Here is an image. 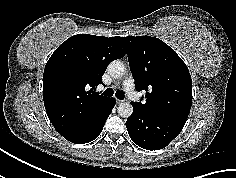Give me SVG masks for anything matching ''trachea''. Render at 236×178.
I'll return each mask as SVG.
<instances>
[{"label":"trachea","mask_w":236,"mask_h":178,"mask_svg":"<svg viewBox=\"0 0 236 178\" xmlns=\"http://www.w3.org/2000/svg\"><path fill=\"white\" fill-rule=\"evenodd\" d=\"M113 94H114V91H113L112 88H108V89H106V90L102 93V95H105V96H108V97L113 96ZM115 96H116L118 99H120V100H123L124 97H125L124 92H123V91H119V90L116 91Z\"/></svg>","instance_id":"obj_1"}]
</instances>
